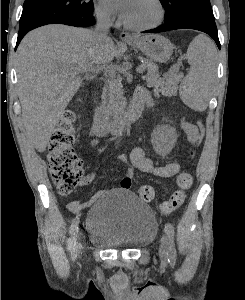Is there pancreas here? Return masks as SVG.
<instances>
[{"mask_svg": "<svg viewBox=\"0 0 245 300\" xmlns=\"http://www.w3.org/2000/svg\"><path fill=\"white\" fill-rule=\"evenodd\" d=\"M144 67L147 70V85L152 87L156 93H161L167 97L176 94L178 83L182 78V75L178 73L176 68L171 69L161 78L158 73V66L153 61L145 60ZM108 75L110 79H107L105 82L102 93V108L109 115H118L125 106L122 85L120 78L115 75L113 70H109Z\"/></svg>", "mask_w": 245, "mask_h": 300, "instance_id": "pancreas-1", "label": "pancreas"}]
</instances>
